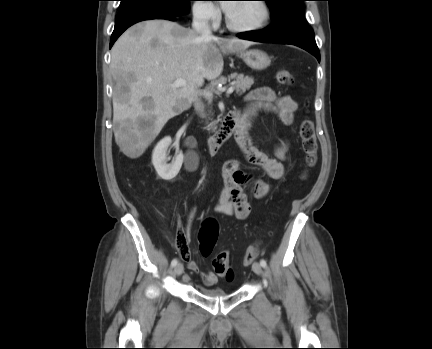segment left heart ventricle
Here are the masks:
<instances>
[{"mask_svg":"<svg viewBox=\"0 0 432 349\" xmlns=\"http://www.w3.org/2000/svg\"><path fill=\"white\" fill-rule=\"evenodd\" d=\"M228 15L232 22L239 26H251L263 17V10L258 2L235 3Z\"/></svg>","mask_w":432,"mask_h":349,"instance_id":"left-heart-ventricle-1","label":"left heart ventricle"}]
</instances>
